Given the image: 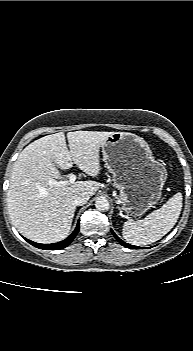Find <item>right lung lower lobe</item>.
I'll list each match as a JSON object with an SVG mask.
<instances>
[{
	"instance_id": "98d812e1",
	"label": "right lung lower lobe",
	"mask_w": 193,
	"mask_h": 351,
	"mask_svg": "<svg viewBox=\"0 0 193 351\" xmlns=\"http://www.w3.org/2000/svg\"><path fill=\"white\" fill-rule=\"evenodd\" d=\"M79 231V221L77 223L76 229L73 231V233L65 240L58 242V243H53V244H40V243H35L33 241H30L25 238L27 242H29L31 245L39 248V249H44V250H58V249H63L67 247L73 239L76 237L77 233Z\"/></svg>"
}]
</instances>
